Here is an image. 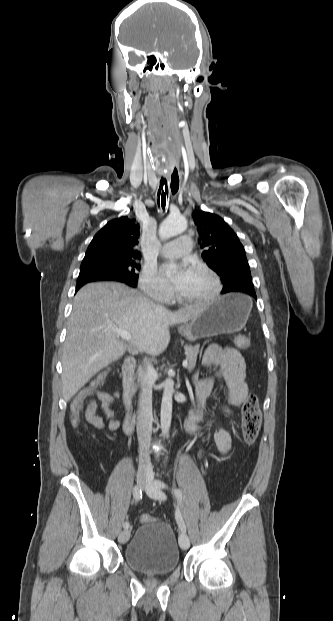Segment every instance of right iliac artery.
<instances>
[{"label":"right iliac artery","instance_id":"right-iliac-artery-1","mask_svg":"<svg viewBox=\"0 0 333 621\" xmlns=\"http://www.w3.org/2000/svg\"><path fill=\"white\" fill-rule=\"evenodd\" d=\"M133 496H134L136 501H139L140 499H142V490H141V488H139L138 486H135L134 489H133ZM129 526H130L129 522L126 521V522L123 523L124 529H128Z\"/></svg>","mask_w":333,"mask_h":621}]
</instances>
